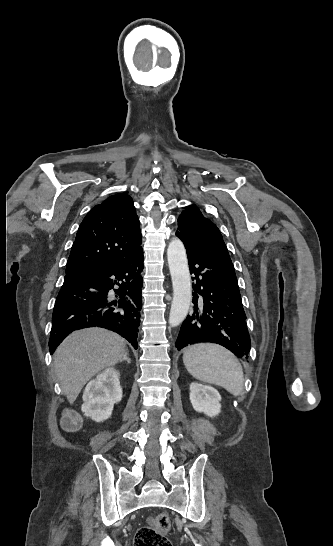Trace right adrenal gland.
<instances>
[{
  "label": "right adrenal gland",
  "mask_w": 333,
  "mask_h": 546,
  "mask_svg": "<svg viewBox=\"0 0 333 546\" xmlns=\"http://www.w3.org/2000/svg\"><path fill=\"white\" fill-rule=\"evenodd\" d=\"M127 355H128V352L126 351L125 354H124V356H123V358L120 360V362L126 360V361L130 364V363H131V360H130V358H128Z\"/></svg>",
  "instance_id": "1"
}]
</instances>
